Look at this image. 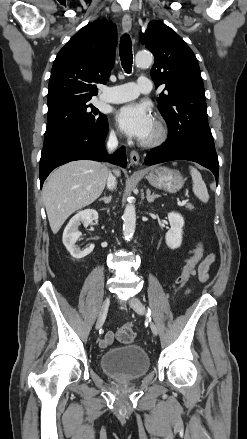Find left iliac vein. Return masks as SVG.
Instances as JSON below:
<instances>
[{
    "label": "left iliac vein",
    "instance_id": "obj_1",
    "mask_svg": "<svg viewBox=\"0 0 247 439\" xmlns=\"http://www.w3.org/2000/svg\"><path fill=\"white\" fill-rule=\"evenodd\" d=\"M129 305L133 308V310L137 314L143 315L145 313V306L138 298L136 297L131 298L129 300ZM150 329L154 335L158 334V328L153 322H150Z\"/></svg>",
    "mask_w": 247,
    "mask_h": 439
}]
</instances>
